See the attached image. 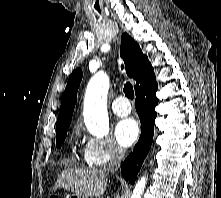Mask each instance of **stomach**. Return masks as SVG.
Listing matches in <instances>:
<instances>
[{
    "label": "stomach",
    "instance_id": "0dacf381",
    "mask_svg": "<svg viewBox=\"0 0 221 198\" xmlns=\"http://www.w3.org/2000/svg\"><path fill=\"white\" fill-rule=\"evenodd\" d=\"M71 198H87V197L82 196V195L73 194Z\"/></svg>",
    "mask_w": 221,
    "mask_h": 198
}]
</instances>
